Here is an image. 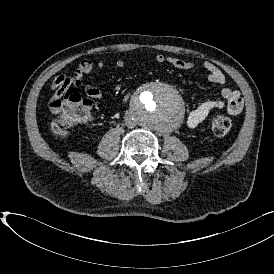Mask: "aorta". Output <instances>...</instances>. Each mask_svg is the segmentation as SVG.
Here are the masks:
<instances>
[{"label": "aorta", "instance_id": "aorta-1", "mask_svg": "<svg viewBox=\"0 0 274 274\" xmlns=\"http://www.w3.org/2000/svg\"><path fill=\"white\" fill-rule=\"evenodd\" d=\"M131 103L137 123L160 132L171 131L184 115V103L179 92L158 81L143 87Z\"/></svg>", "mask_w": 274, "mask_h": 274}]
</instances>
